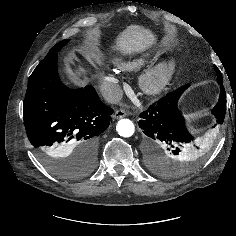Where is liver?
Segmentation results:
<instances>
[{"instance_id": "6515ba94", "label": "liver", "mask_w": 236, "mask_h": 236, "mask_svg": "<svg viewBox=\"0 0 236 236\" xmlns=\"http://www.w3.org/2000/svg\"><path fill=\"white\" fill-rule=\"evenodd\" d=\"M154 40V36L150 31L131 25L118 36L114 50L124 54L140 52L151 46ZM82 72V69H78V74H82Z\"/></svg>"}]
</instances>
